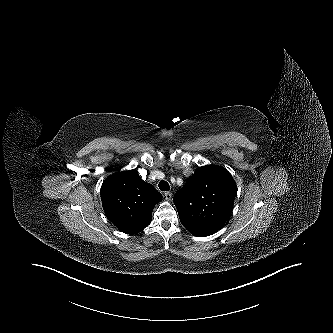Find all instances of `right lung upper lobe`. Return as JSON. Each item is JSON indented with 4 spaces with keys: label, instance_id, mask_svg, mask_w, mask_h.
I'll list each match as a JSON object with an SVG mask.
<instances>
[{
    "label": "right lung upper lobe",
    "instance_id": "cb5924a9",
    "mask_svg": "<svg viewBox=\"0 0 333 333\" xmlns=\"http://www.w3.org/2000/svg\"><path fill=\"white\" fill-rule=\"evenodd\" d=\"M101 200L107 218L120 231L136 234L147 227L154 206L162 195L144 182L136 170L109 176L101 187Z\"/></svg>",
    "mask_w": 333,
    "mask_h": 333
}]
</instances>
